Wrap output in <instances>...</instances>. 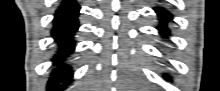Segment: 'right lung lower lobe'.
Listing matches in <instances>:
<instances>
[{"label":"right lung lower lobe","mask_w":220,"mask_h":91,"mask_svg":"<svg viewBox=\"0 0 220 91\" xmlns=\"http://www.w3.org/2000/svg\"><path fill=\"white\" fill-rule=\"evenodd\" d=\"M79 9L75 0L63 1L55 13L51 33L58 48L53 58L55 68L47 86L50 91L65 88L72 81L71 66L66 64V60L75 49L74 35L79 27Z\"/></svg>","instance_id":"obj_1"}]
</instances>
